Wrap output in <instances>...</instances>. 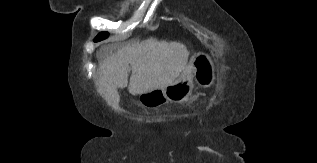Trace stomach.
<instances>
[{
	"instance_id": "0dacf381",
	"label": "stomach",
	"mask_w": 317,
	"mask_h": 163,
	"mask_svg": "<svg viewBox=\"0 0 317 163\" xmlns=\"http://www.w3.org/2000/svg\"><path fill=\"white\" fill-rule=\"evenodd\" d=\"M216 69L209 55L195 54L188 67L171 84L139 94V103L145 108H155L168 102L186 101L194 88L193 79L202 87L211 86L216 78Z\"/></svg>"
}]
</instances>
